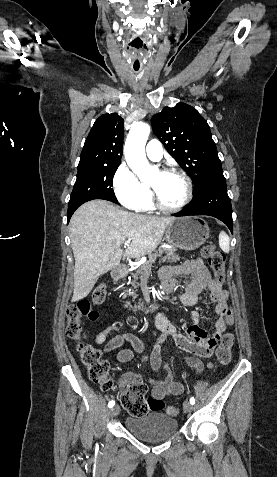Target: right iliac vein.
Returning <instances> with one entry per match:
<instances>
[{"label": "right iliac vein", "mask_w": 277, "mask_h": 477, "mask_svg": "<svg viewBox=\"0 0 277 477\" xmlns=\"http://www.w3.org/2000/svg\"><path fill=\"white\" fill-rule=\"evenodd\" d=\"M119 411H120L119 406H114L113 408H111L109 414L111 417H114L119 413Z\"/></svg>", "instance_id": "1"}]
</instances>
